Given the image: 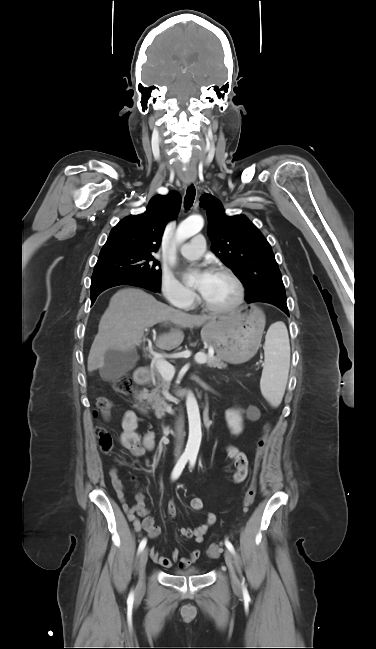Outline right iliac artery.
I'll return each mask as SVG.
<instances>
[{"label":"right iliac artery","mask_w":376,"mask_h":649,"mask_svg":"<svg viewBox=\"0 0 376 649\" xmlns=\"http://www.w3.org/2000/svg\"><path fill=\"white\" fill-rule=\"evenodd\" d=\"M189 459H190V457L188 455H182L180 457V459L178 460L177 464L175 465V467H174V469L172 471V476L171 477H172L173 480H176L177 478H179V476L181 475V473H182V471H183V469H184V467L187 464ZM146 542H147L146 539H143L140 542L139 548H138L139 553L145 548ZM132 595L133 594H131L130 597H132Z\"/></svg>","instance_id":"obj_1"}]
</instances>
